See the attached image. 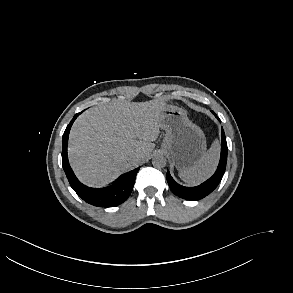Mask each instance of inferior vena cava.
Returning a JSON list of instances; mask_svg holds the SVG:
<instances>
[{"label": "inferior vena cava", "mask_w": 293, "mask_h": 293, "mask_svg": "<svg viewBox=\"0 0 293 293\" xmlns=\"http://www.w3.org/2000/svg\"><path fill=\"white\" fill-rule=\"evenodd\" d=\"M131 160H132V161H138V156H133V157L131 158Z\"/></svg>", "instance_id": "obj_1"}]
</instances>
